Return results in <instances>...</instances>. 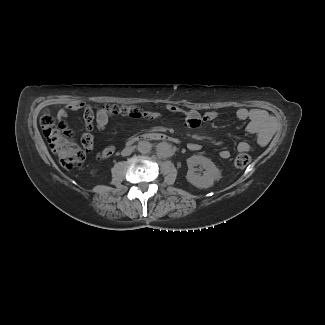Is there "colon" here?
Returning <instances> with one entry per match:
<instances>
[{"mask_svg": "<svg viewBox=\"0 0 325 325\" xmlns=\"http://www.w3.org/2000/svg\"><path fill=\"white\" fill-rule=\"evenodd\" d=\"M100 109L111 114L130 117H139L143 113L136 106L126 105H105ZM41 126L52 152L58 157L59 162L65 169L71 170L82 165L85 160V151L62 134L56 120L49 113H44L41 117ZM250 163L251 157L246 152H241L234 160V166L237 169H245Z\"/></svg>", "mask_w": 325, "mask_h": 325, "instance_id": "5ec220e1", "label": "colon"}]
</instances>
